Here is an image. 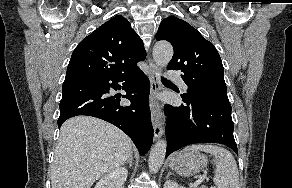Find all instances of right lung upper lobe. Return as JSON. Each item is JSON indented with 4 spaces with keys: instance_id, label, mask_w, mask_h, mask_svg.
Instances as JSON below:
<instances>
[{
    "instance_id": "obj_1",
    "label": "right lung upper lobe",
    "mask_w": 292,
    "mask_h": 188,
    "mask_svg": "<svg viewBox=\"0 0 292 188\" xmlns=\"http://www.w3.org/2000/svg\"><path fill=\"white\" fill-rule=\"evenodd\" d=\"M146 57L140 37L123 16H115L75 48L66 78L121 76L139 69L137 62Z\"/></svg>"
}]
</instances>
